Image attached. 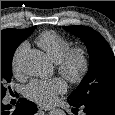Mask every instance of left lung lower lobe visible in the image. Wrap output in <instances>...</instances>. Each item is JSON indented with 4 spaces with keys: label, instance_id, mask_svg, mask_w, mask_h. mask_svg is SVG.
Wrapping results in <instances>:
<instances>
[{
    "label": "left lung lower lobe",
    "instance_id": "0a47b994",
    "mask_svg": "<svg viewBox=\"0 0 115 115\" xmlns=\"http://www.w3.org/2000/svg\"><path fill=\"white\" fill-rule=\"evenodd\" d=\"M69 104L74 107L72 111L75 114H77L78 108L82 107L83 111L87 115H115V108H110L105 105L87 104V105L77 106L71 102H69Z\"/></svg>",
    "mask_w": 115,
    "mask_h": 115
}]
</instances>
